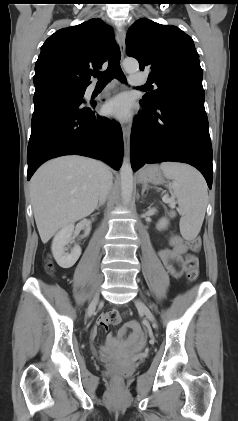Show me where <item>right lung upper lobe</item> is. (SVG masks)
Listing matches in <instances>:
<instances>
[{
    "instance_id": "1",
    "label": "right lung upper lobe",
    "mask_w": 238,
    "mask_h": 421,
    "mask_svg": "<svg viewBox=\"0 0 238 421\" xmlns=\"http://www.w3.org/2000/svg\"><path fill=\"white\" fill-rule=\"evenodd\" d=\"M114 42L113 28L96 18L56 31L41 47L34 84L87 87L90 75L108 59Z\"/></svg>"
}]
</instances>
